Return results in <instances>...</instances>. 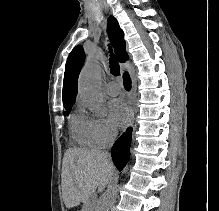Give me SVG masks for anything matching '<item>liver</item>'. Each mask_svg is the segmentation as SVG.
<instances>
[{"label":"liver","instance_id":"obj_1","mask_svg":"<svg viewBox=\"0 0 219 211\" xmlns=\"http://www.w3.org/2000/svg\"><path fill=\"white\" fill-rule=\"evenodd\" d=\"M114 165L102 151L86 147H69L62 165L63 199L66 207L87 203L97 187H106L112 179Z\"/></svg>","mask_w":219,"mask_h":211}]
</instances>
